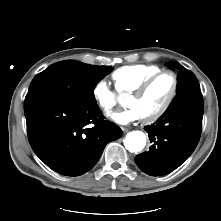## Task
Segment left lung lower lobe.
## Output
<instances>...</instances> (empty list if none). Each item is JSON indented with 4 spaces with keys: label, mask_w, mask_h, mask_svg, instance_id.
<instances>
[{
    "label": "left lung lower lobe",
    "mask_w": 221,
    "mask_h": 221,
    "mask_svg": "<svg viewBox=\"0 0 221 221\" xmlns=\"http://www.w3.org/2000/svg\"><path fill=\"white\" fill-rule=\"evenodd\" d=\"M202 117L201 91L167 109L157 122L145 127L152 146L135 157L138 167L151 176L166 175L178 168L199 142Z\"/></svg>",
    "instance_id": "1"
}]
</instances>
